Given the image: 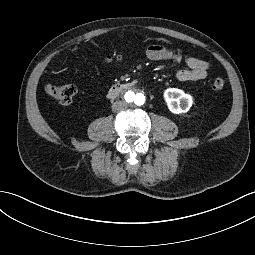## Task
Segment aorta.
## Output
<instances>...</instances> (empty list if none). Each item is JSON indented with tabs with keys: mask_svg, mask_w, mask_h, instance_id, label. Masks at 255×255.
<instances>
[{
	"mask_svg": "<svg viewBox=\"0 0 255 255\" xmlns=\"http://www.w3.org/2000/svg\"><path fill=\"white\" fill-rule=\"evenodd\" d=\"M125 100L129 105L137 107L143 105L146 99L141 91L131 88L125 93Z\"/></svg>",
	"mask_w": 255,
	"mask_h": 255,
	"instance_id": "aorta-1",
	"label": "aorta"
}]
</instances>
